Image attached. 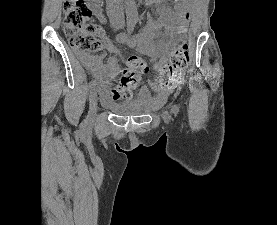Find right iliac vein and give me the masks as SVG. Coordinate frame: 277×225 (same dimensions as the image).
Segmentation results:
<instances>
[{"mask_svg":"<svg viewBox=\"0 0 277 225\" xmlns=\"http://www.w3.org/2000/svg\"><path fill=\"white\" fill-rule=\"evenodd\" d=\"M97 101H98L97 93L92 92L91 95H90V106H89L90 116H95V114H96Z\"/></svg>","mask_w":277,"mask_h":225,"instance_id":"right-iliac-vein-1","label":"right iliac vein"}]
</instances>
